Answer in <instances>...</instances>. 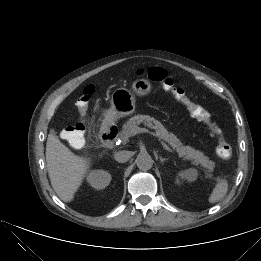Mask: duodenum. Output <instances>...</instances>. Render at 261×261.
Masks as SVG:
<instances>
[{"instance_id":"410a0bca","label":"duodenum","mask_w":261,"mask_h":261,"mask_svg":"<svg viewBox=\"0 0 261 261\" xmlns=\"http://www.w3.org/2000/svg\"><path fill=\"white\" fill-rule=\"evenodd\" d=\"M118 136V129L115 126H106L100 132L101 142L105 147H112Z\"/></svg>"}]
</instances>
